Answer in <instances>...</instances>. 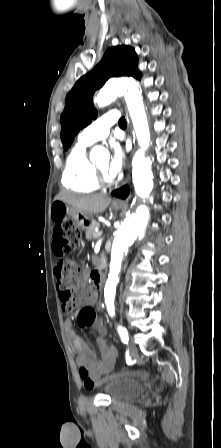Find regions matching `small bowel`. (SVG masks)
I'll use <instances>...</instances> for the list:
<instances>
[{
    "mask_svg": "<svg viewBox=\"0 0 221 448\" xmlns=\"http://www.w3.org/2000/svg\"><path fill=\"white\" fill-rule=\"evenodd\" d=\"M56 226L57 220L53 218L52 249L55 255L60 256L61 253L58 249V245H60L61 240L54 234V228ZM96 304V292L89 286H87L85 283V278H82L79 280L73 300L67 303H63L62 308L65 312H69L74 307L81 308V310L77 313L76 318L80 326H85L83 309L87 306L93 307ZM88 326H91L99 334L97 338L99 353H96L86 344L77 340L71 320L66 319L64 321L65 332L77 364L85 367L89 374L93 378L97 379L103 374L110 372L114 368L118 353L117 350L105 340L107 330L102 319L97 318L96 316L95 321Z\"/></svg>",
    "mask_w": 221,
    "mask_h": 448,
    "instance_id": "c3829d8e",
    "label": "small bowel"
}]
</instances>
